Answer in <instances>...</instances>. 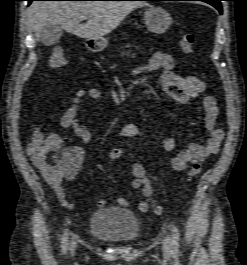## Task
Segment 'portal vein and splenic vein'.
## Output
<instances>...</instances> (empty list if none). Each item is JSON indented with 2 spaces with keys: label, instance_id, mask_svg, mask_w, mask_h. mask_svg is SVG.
<instances>
[{
  "label": "portal vein and splenic vein",
  "instance_id": "18ae733b",
  "mask_svg": "<svg viewBox=\"0 0 247 265\" xmlns=\"http://www.w3.org/2000/svg\"><path fill=\"white\" fill-rule=\"evenodd\" d=\"M80 19H81V20H86L87 17H85V16H81Z\"/></svg>",
  "mask_w": 247,
  "mask_h": 265
}]
</instances>
